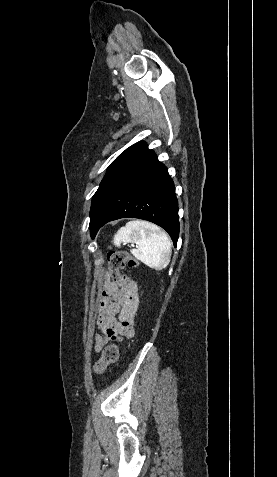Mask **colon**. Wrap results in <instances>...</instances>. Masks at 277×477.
Segmentation results:
<instances>
[{
    "label": "colon",
    "instance_id": "obj_1",
    "mask_svg": "<svg viewBox=\"0 0 277 477\" xmlns=\"http://www.w3.org/2000/svg\"><path fill=\"white\" fill-rule=\"evenodd\" d=\"M109 273L112 279L119 283L132 281L128 275L122 274L121 271L126 267H137L138 262L129 254L123 251L110 250L107 254ZM119 357L118 344H110L104 347L101 358L95 363L94 371L102 373L107 366L115 363Z\"/></svg>",
    "mask_w": 277,
    "mask_h": 477
}]
</instances>
